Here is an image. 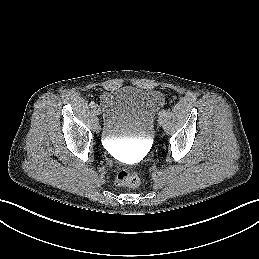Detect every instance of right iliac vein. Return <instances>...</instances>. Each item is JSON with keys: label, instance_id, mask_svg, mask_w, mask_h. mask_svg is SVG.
<instances>
[{"label": "right iliac vein", "instance_id": "right-iliac-vein-1", "mask_svg": "<svg viewBox=\"0 0 259 259\" xmlns=\"http://www.w3.org/2000/svg\"><path fill=\"white\" fill-rule=\"evenodd\" d=\"M94 112L98 115L100 113V109L98 106L94 107ZM96 129H99L98 126H96Z\"/></svg>", "mask_w": 259, "mask_h": 259}]
</instances>
